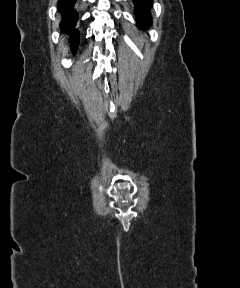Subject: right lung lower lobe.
Wrapping results in <instances>:
<instances>
[{
  "instance_id": "1",
  "label": "right lung lower lobe",
  "mask_w": 240,
  "mask_h": 288,
  "mask_svg": "<svg viewBox=\"0 0 240 288\" xmlns=\"http://www.w3.org/2000/svg\"><path fill=\"white\" fill-rule=\"evenodd\" d=\"M76 0H59L58 9L63 14L61 22L62 31L69 34L70 50L75 53L78 42L79 32L75 29L78 14L73 10V5Z\"/></svg>"
}]
</instances>
